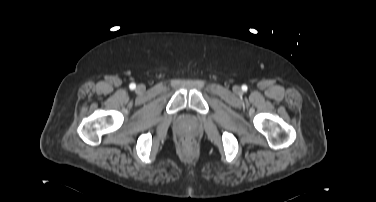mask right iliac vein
<instances>
[{"label": "right iliac vein", "mask_w": 376, "mask_h": 202, "mask_svg": "<svg viewBox=\"0 0 376 202\" xmlns=\"http://www.w3.org/2000/svg\"><path fill=\"white\" fill-rule=\"evenodd\" d=\"M137 91H138V92H142V91H144V86H143V85H138V86H137Z\"/></svg>", "instance_id": "right-iliac-vein-1"}]
</instances>
